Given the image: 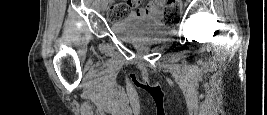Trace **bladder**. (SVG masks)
Wrapping results in <instances>:
<instances>
[{
    "instance_id": "1",
    "label": "bladder",
    "mask_w": 267,
    "mask_h": 115,
    "mask_svg": "<svg viewBox=\"0 0 267 115\" xmlns=\"http://www.w3.org/2000/svg\"><path fill=\"white\" fill-rule=\"evenodd\" d=\"M156 15H128L112 24V32L126 42H153L166 38L169 30L157 22Z\"/></svg>"
}]
</instances>
